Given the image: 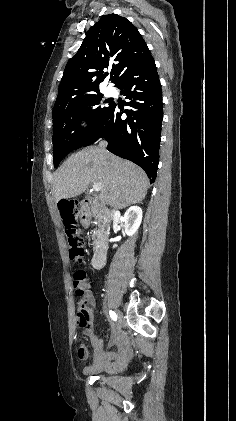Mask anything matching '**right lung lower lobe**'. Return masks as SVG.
I'll return each mask as SVG.
<instances>
[{
	"label": "right lung lower lobe",
	"instance_id": "obj_1",
	"mask_svg": "<svg viewBox=\"0 0 236 421\" xmlns=\"http://www.w3.org/2000/svg\"><path fill=\"white\" fill-rule=\"evenodd\" d=\"M115 84L129 100L125 105L132 109L126 110L127 118L122 119L121 107L113 102L101 127L81 147L105 138L110 152L142 167L153 183L159 163L163 103L152 55L128 68Z\"/></svg>",
	"mask_w": 236,
	"mask_h": 421
}]
</instances>
